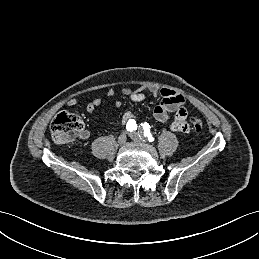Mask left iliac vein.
I'll return each instance as SVG.
<instances>
[{
  "label": "left iliac vein",
  "mask_w": 259,
  "mask_h": 259,
  "mask_svg": "<svg viewBox=\"0 0 259 259\" xmlns=\"http://www.w3.org/2000/svg\"><path fill=\"white\" fill-rule=\"evenodd\" d=\"M129 136L134 141H137V142L138 141H144V139L141 138L137 132H132V133L129 134Z\"/></svg>",
  "instance_id": "4c4485c4"
}]
</instances>
